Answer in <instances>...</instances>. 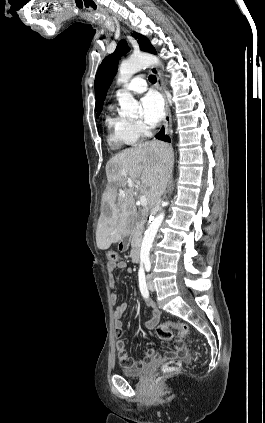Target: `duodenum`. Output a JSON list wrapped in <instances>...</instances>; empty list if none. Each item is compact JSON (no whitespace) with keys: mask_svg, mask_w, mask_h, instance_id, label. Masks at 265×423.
<instances>
[{"mask_svg":"<svg viewBox=\"0 0 265 423\" xmlns=\"http://www.w3.org/2000/svg\"><path fill=\"white\" fill-rule=\"evenodd\" d=\"M131 258L135 263L140 261V243L138 240H135L133 243L131 250Z\"/></svg>","mask_w":265,"mask_h":423,"instance_id":"duodenum-1","label":"duodenum"}]
</instances>
